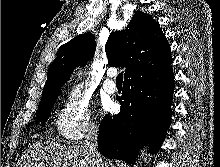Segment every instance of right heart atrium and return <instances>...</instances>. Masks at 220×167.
<instances>
[{
	"label": "right heart atrium",
	"instance_id": "right-heart-atrium-1",
	"mask_svg": "<svg viewBox=\"0 0 220 167\" xmlns=\"http://www.w3.org/2000/svg\"><path fill=\"white\" fill-rule=\"evenodd\" d=\"M55 125L58 134L72 144L97 133L93 109L84 92L72 89L65 95L57 112Z\"/></svg>",
	"mask_w": 220,
	"mask_h": 167
}]
</instances>
